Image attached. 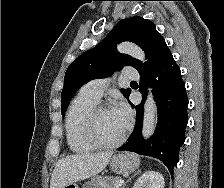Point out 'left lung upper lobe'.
<instances>
[{"label": "left lung upper lobe", "instance_id": "5c2ea615", "mask_svg": "<svg viewBox=\"0 0 224 188\" xmlns=\"http://www.w3.org/2000/svg\"><path fill=\"white\" fill-rule=\"evenodd\" d=\"M122 41H132L139 45L148 60L143 64L129 55L118 53L116 45ZM171 55L153 22L139 16L121 20L96 47L81 54L68 67L61 94L62 116L73 95L88 81L108 76L124 66H132L143 75ZM121 92L128 97L131 89H122Z\"/></svg>", "mask_w": 224, "mask_h": 188}]
</instances>
